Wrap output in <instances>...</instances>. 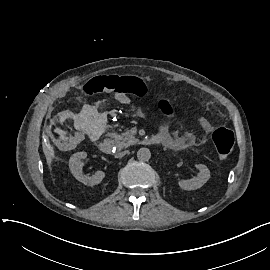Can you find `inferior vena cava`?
I'll list each match as a JSON object with an SVG mask.
<instances>
[{
	"mask_svg": "<svg viewBox=\"0 0 270 270\" xmlns=\"http://www.w3.org/2000/svg\"><path fill=\"white\" fill-rule=\"evenodd\" d=\"M128 153H129V151L126 150V151H123V152H121V153H118L117 156H118V157H123L124 155H126V154H128Z\"/></svg>",
	"mask_w": 270,
	"mask_h": 270,
	"instance_id": "inferior-vena-cava-1",
	"label": "inferior vena cava"
}]
</instances>
